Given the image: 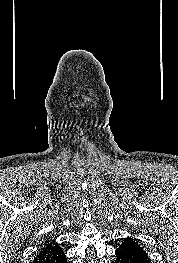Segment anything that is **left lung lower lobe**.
Returning a JSON list of instances; mask_svg holds the SVG:
<instances>
[{"mask_svg": "<svg viewBox=\"0 0 178 263\" xmlns=\"http://www.w3.org/2000/svg\"><path fill=\"white\" fill-rule=\"evenodd\" d=\"M114 263H151L144 249L132 238L125 239L116 250Z\"/></svg>", "mask_w": 178, "mask_h": 263, "instance_id": "0a47b994", "label": "left lung lower lobe"}]
</instances>
